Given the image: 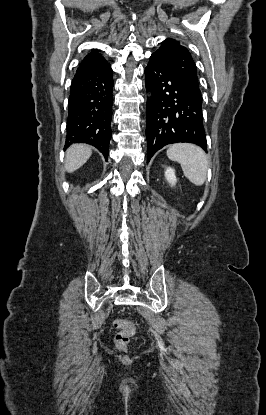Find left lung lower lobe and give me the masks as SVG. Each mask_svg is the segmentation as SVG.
<instances>
[{
    "mask_svg": "<svg viewBox=\"0 0 266 415\" xmlns=\"http://www.w3.org/2000/svg\"><path fill=\"white\" fill-rule=\"evenodd\" d=\"M145 75L146 89L152 93L147 102V163L167 144L194 143L207 151L202 99L155 53Z\"/></svg>",
    "mask_w": 266,
    "mask_h": 415,
    "instance_id": "0a47b994",
    "label": "left lung lower lobe"
}]
</instances>
